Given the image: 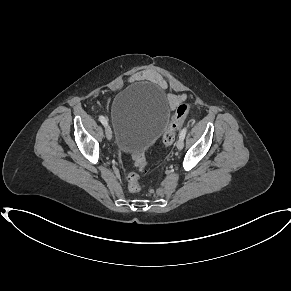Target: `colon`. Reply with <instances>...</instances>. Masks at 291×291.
<instances>
[{
	"label": "colon",
	"mask_w": 291,
	"mask_h": 291,
	"mask_svg": "<svg viewBox=\"0 0 291 291\" xmlns=\"http://www.w3.org/2000/svg\"><path fill=\"white\" fill-rule=\"evenodd\" d=\"M189 113V108L186 104H181L178 106L176 112L174 113L169 126L163 134L162 141L165 146H171L174 143L176 133L181 128L185 122ZM133 160L135 165L140 170H145L148 166L146 157L142 153L133 154ZM128 189L129 191L135 193L140 191L141 186L139 183V175L135 172H130L127 177Z\"/></svg>",
	"instance_id": "5ec220e1"
}]
</instances>
